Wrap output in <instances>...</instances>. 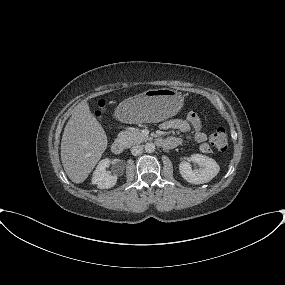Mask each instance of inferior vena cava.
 Returning <instances> with one entry per match:
<instances>
[{"mask_svg": "<svg viewBox=\"0 0 285 285\" xmlns=\"http://www.w3.org/2000/svg\"><path fill=\"white\" fill-rule=\"evenodd\" d=\"M143 152V147L141 145H137L131 148V153L134 156L140 155Z\"/></svg>", "mask_w": 285, "mask_h": 285, "instance_id": "inferior-vena-cava-1", "label": "inferior vena cava"}]
</instances>
